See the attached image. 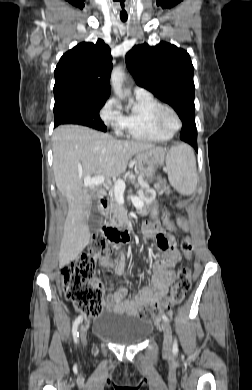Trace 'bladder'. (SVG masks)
I'll list each match as a JSON object with an SVG mask.
<instances>
[{
    "instance_id": "31cf9c89",
    "label": "bladder",
    "mask_w": 252,
    "mask_h": 390,
    "mask_svg": "<svg viewBox=\"0 0 252 390\" xmlns=\"http://www.w3.org/2000/svg\"><path fill=\"white\" fill-rule=\"evenodd\" d=\"M92 331L112 343L132 346L143 342L150 334V324L136 315H105L94 321Z\"/></svg>"
}]
</instances>
